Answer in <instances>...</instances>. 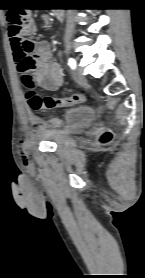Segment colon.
I'll return each instance as SVG.
<instances>
[{
  "mask_svg": "<svg viewBox=\"0 0 145 278\" xmlns=\"http://www.w3.org/2000/svg\"><path fill=\"white\" fill-rule=\"evenodd\" d=\"M9 36L18 42L20 46L28 53L34 49L33 44L25 37L28 26L31 23L30 14L23 8H14L7 15ZM23 81L27 86L26 99L32 111H43L54 107H71L75 104L84 101L85 97L81 94H75L69 97L58 98L55 96H41L37 90L34 89L36 75L34 73L23 77ZM112 137L109 130H103L101 134V141L108 142ZM21 152L27 155L30 152L29 146L25 140L20 142Z\"/></svg>",
  "mask_w": 145,
  "mask_h": 278,
  "instance_id": "colon-1",
  "label": "colon"
}]
</instances>
